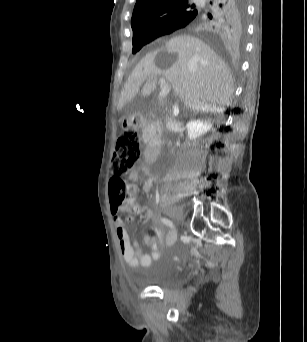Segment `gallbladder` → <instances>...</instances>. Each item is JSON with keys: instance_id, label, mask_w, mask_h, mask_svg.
Masks as SVG:
<instances>
[{"instance_id": "gallbladder-1", "label": "gallbladder", "mask_w": 307, "mask_h": 342, "mask_svg": "<svg viewBox=\"0 0 307 342\" xmlns=\"http://www.w3.org/2000/svg\"><path fill=\"white\" fill-rule=\"evenodd\" d=\"M172 116L174 117V118H177L178 116H179V109L177 108V107H174L173 109H172Z\"/></svg>"}]
</instances>
